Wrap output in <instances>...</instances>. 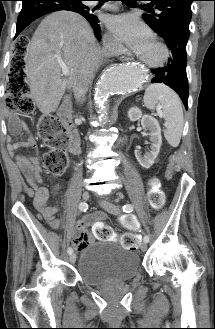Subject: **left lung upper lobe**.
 <instances>
[{"label":"left lung upper lobe","mask_w":215,"mask_h":329,"mask_svg":"<svg viewBox=\"0 0 215 329\" xmlns=\"http://www.w3.org/2000/svg\"><path fill=\"white\" fill-rule=\"evenodd\" d=\"M157 13L143 14L144 21L158 34L168 30L176 31L189 37L191 21V4L194 0H150Z\"/></svg>","instance_id":"obj_1"}]
</instances>
